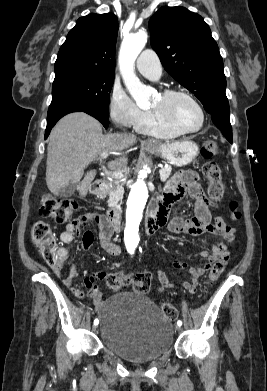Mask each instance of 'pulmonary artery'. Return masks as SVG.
I'll list each match as a JSON object with an SVG mask.
<instances>
[{"instance_id":"pulmonary-artery-1","label":"pulmonary artery","mask_w":267,"mask_h":391,"mask_svg":"<svg viewBox=\"0 0 267 391\" xmlns=\"http://www.w3.org/2000/svg\"><path fill=\"white\" fill-rule=\"evenodd\" d=\"M137 70L146 78L157 80L161 76L162 66L158 55L151 49L142 51L136 61Z\"/></svg>"}]
</instances>
